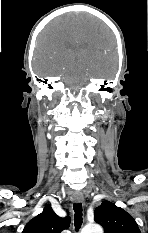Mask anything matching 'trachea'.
Wrapping results in <instances>:
<instances>
[{
	"label": "trachea",
	"instance_id": "obj_1",
	"mask_svg": "<svg viewBox=\"0 0 148 233\" xmlns=\"http://www.w3.org/2000/svg\"><path fill=\"white\" fill-rule=\"evenodd\" d=\"M74 209V225L75 230L78 231L81 228L82 222H83V209L81 203H75L73 205Z\"/></svg>",
	"mask_w": 148,
	"mask_h": 233
}]
</instances>
